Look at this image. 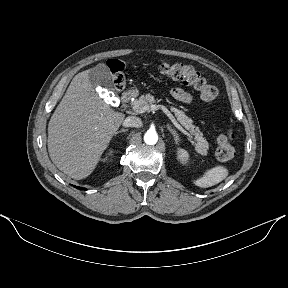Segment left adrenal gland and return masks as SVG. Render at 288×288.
<instances>
[{
    "label": "left adrenal gland",
    "instance_id": "a2214340",
    "mask_svg": "<svg viewBox=\"0 0 288 288\" xmlns=\"http://www.w3.org/2000/svg\"><path fill=\"white\" fill-rule=\"evenodd\" d=\"M167 129H168L169 132L173 135V138H174L175 143L178 144L179 135L177 134V132H176L170 125H167Z\"/></svg>",
    "mask_w": 288,
    "mask_h": 288
}]
</instances>
